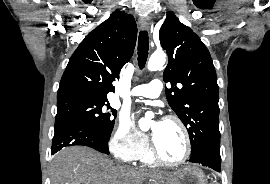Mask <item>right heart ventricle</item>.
<instances>
[{
	"label": "right heart ventricle",
	"mask_w": 270,
	"mask_h": 184,
	"mask_svg": "<svg viewBox=\"0 0 270 184\" xmlns=\"http://www.w3.org/2000/svg\"><path fill=\"white\" fill-rule=\"evenodd\" d=\"M139 159L144 163H153L155 159L153 158V155L150 150L146 149L142 155L139 157Z\"/></svg>",
	"instance_id": "e07e8e85"
}]
</instances>
